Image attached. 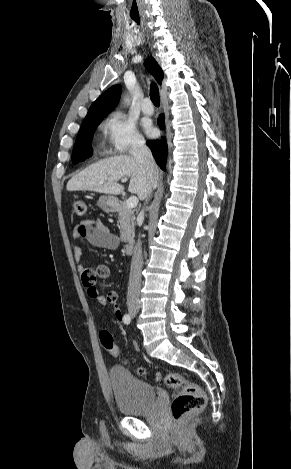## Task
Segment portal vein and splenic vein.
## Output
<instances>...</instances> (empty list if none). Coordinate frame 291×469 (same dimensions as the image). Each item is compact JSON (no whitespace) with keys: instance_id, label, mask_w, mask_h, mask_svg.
<instances>
[{"instance_id":"obj_1","label":"portal vein and splenic vein","mask_w":291,"mask_h":469,"mask_svg":"<svg viewBox=\"0 0 291 469\" xmlns=\"http://www.w3.org/2000/svg\"><path fill=\"white\" fill-rule=\"evenodd\" d=\"M126 181H127L126 178H123V179L121 180V182H123V183L126 182ZM126 205H127V208H129V209L135 208V207L138 205V199H137V197H135V196L130 197V198L126 201Z\"/></svg>"}]
</instances>
